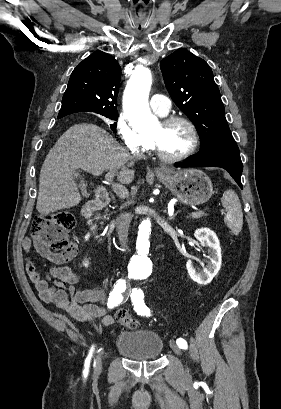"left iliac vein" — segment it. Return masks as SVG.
Instances as JSON below:
<instances>
[{
	"instance_id": "4c4485c4",
	"label": "left iliac vein",
	"mask_w": 281,
	"mask_h": 409,
	"mask_svg": "<svg viewBox=\"0 0 281 409\" xmlns=\"http://www.w3.org/2000/svg\"><path fill=\"white\" fill-rule=\"evenodd\" d=\"M170 347H171L172 351H173L175 354H177L178 356H181L182 350H181V348H180L174 341H171V342H170Z\"/></svg>"
}]
</instances>
